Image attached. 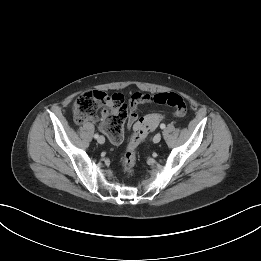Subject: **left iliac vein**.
<instances>
[{
  "label": "left iliac vein",
  "mask_w": 261,
  "mask_h": 261,
  "mask_svg": "<svg viewBox=\"0 0 261 261\" xmlns=\"http://www.w3.org/2000/svg\"><path fill=\"white\" fill-rule=\"evenodd\" d=\"M161 140V134H156L154 137H153V142L154 143H159Z\"/></svg>",
  "instance_id": "obj_1"
}]
</instances>
